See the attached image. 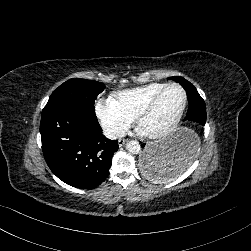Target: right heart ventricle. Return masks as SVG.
<instances>
[{
	"instance_id": "e07e8e85",
	"label": "right heart ventricle",
	"mask_w": 251,
	"mask_h": 251,
	"mask_svg": "<svg viewBox=\"0 0 251 251\" xmlns=\"http://www.w3.org/2000/svg\"><path fill=\"white\" fill-rule=\"evenodd\" d=\"M163 82H151L139 87L124 90L118 94V100L131 114L138 111L164 86Z\"/></svg>"
}]
</instances>
